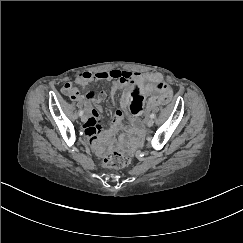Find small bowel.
Listing matches in <instances>:
<instances>
[{
    "instance_id": "1",
    "label": "small bowel",
    "mask_w": 243,
    "mask_h": 243,
    "mask_svg": "<svg viewBox=\"0 0 243 243\" xmlns=\"http://www.w3.org/2000/svg\"><path fill=\"white\" fill-rule=\"evenodd\" d=\"M113 80L112 88L117 91L126 87L124 94V105L132 115L148 112L163 104L165 97H171V87L163 81L161 74L156 72L140 73L126 70L113 69L96 73L82 72L75 78V83L84 87L92 81ZM62 92L74 100L98 103L99 98L93 92L82 95L74 84L67 82ZM122 112L115 113V120L122 118ZM101 118L98 110L91 109L83 127L84 135L91 143H96L102 132Z\"/></svg>"
}]
</instances>
